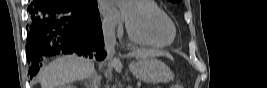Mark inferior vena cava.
<instances>
[{
    "label": "inferior vena cava",
    "instance_id": "inferior-vena-cava-1",
    "mask_svg": "<svg viewBox=\"0 0 267 88\" xmlns=\"http://www.w3.org/2000/svg\"><path fill=\"white\" fill-rule=\"evenodd\" d=\"M103 36H104V44L105 50L107 52L106 60L108 63V71L106 72V76L111 75V69L115 62L114 55H115V26L110 24L103 25Z\"/></svg>",
    "mask_w": 267,
    "mask_h": 88
}]
</instances>
